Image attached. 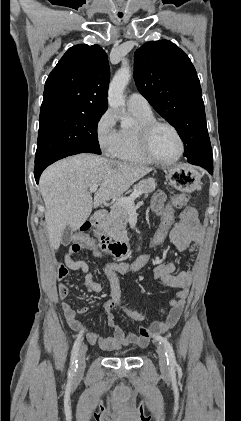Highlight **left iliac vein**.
Returning <instances> with one entry per match:
<instances>
[{"mask_svg":"<svg viewBox=\"0 0 241 421\" xmlns=\"http://www.w3.org/2000/svg\"><path fill=\"white\" fill-rule=\"evenodd\" d=\"M157 354H158V358H159V365L161 368V371L163 373H167L169 370L168 364H167V358L165 355V351L161 346L157 347Z\"/></svg>","mask_w":241,"mask_h":421,"instance_id":"4c4485c4","label":"left iliac vein"}]
</instances>
